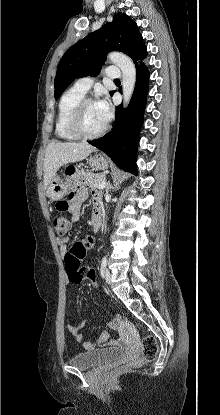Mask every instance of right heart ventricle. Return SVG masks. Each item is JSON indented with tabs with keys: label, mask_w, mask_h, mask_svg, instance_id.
Instances as JSON below:
<instances>
[{
	"label": "right heart ventricle",
	"mask_w": 220,
	"mask_h": 415,
	"mask_svg": "<svg viewBox=\"0 0 220 415\" xmlns=\"http://www.w3.org/2000/svg\"><path fill=\"white\" fill-rule=\"evenodd\" d=\"M85 97V94L79 92L73 87L67 90L60 98L55 120V134L58 138L64 140H77L68 127V119L73 108Z\"/></svg>",
	"instance_id": "1"
}]
</instances>
